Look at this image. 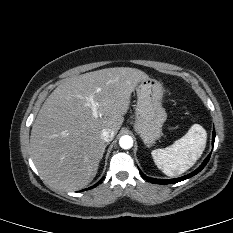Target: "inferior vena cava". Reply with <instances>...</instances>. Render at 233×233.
Wrapping results in <instances>:
<instances>
[{"label": "inferior vena cava", "instance_id": "inferior-vena-cava-1", "mask_svg": "<svg viewBox=\"0 0 233 233\" xmlns=\"http://www.w3.org/2000/svg\"><path fill=\"white\" fill-rule=\"evenodd\" d=\"M101 138L105 142H109L114 138V133L110 129H103L101 131Z\"/></svg>", "mask_w": 233, "mask_h": 233}]
</instances>
